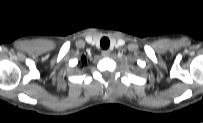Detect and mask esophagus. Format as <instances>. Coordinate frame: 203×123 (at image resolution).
<instances>
[{
  "mask_svg": "<svg viewBox=\"0 0 203 123\" xmlns=\"http://www.w3.org/2000/svg\"><path fill=\"white\" fill-rule=\"evenodd\" d=\"M101 54H102L103 57H109L111 53H110L109 50H104V51H102Z\"/></svg>",
  "mask_w": 203,
  "mask_h": 123,
  "instance_id": "1",
  "label": "esophagus"
}]
</instances>
